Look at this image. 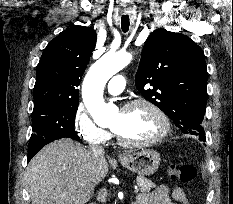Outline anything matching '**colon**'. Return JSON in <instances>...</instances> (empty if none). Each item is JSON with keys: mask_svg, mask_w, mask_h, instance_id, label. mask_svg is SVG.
Segmentation results:
<instances>
[{"mask_svg": "<svg viewBox=\"0 0 233 204\" xmlns=\"http://www.w3.org/2000/svg\"><path fill=\"white\" fill-rule=\"evenodd\" d=\"M168 173L172 180L181 183H190L196 179L198 169L192 164H174L169 166Z\"/></svg>", "mask_w": 233, "mask_h": 204, "instance_id": "1", "label": "colon"}]
</instances>
